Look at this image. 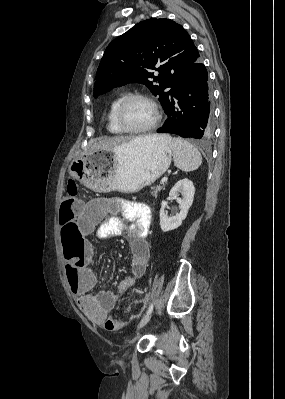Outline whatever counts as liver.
<instances>
[{
	"label": "liver",
	"mask_w": 285,
	"mask_h": 399,
	"mask_svg": "<svg viewBox=\"0 0 285 399\" xmlns=\"http://www.w3.org/2000/svg\"><path fill=\"white\" fill-rule=\"evenodd\" d=\"M157 135H149L145 137H136V138H131V137H123V136H116V137H111V138H104L99 140L98 142L94 143L90 149V151L93 150H98V149H104V150H113L118 148L121 145H124L132 140L135 139H140V138H156Z\"/></svg>",
	"instance_id": "1"
}]
</instances>
